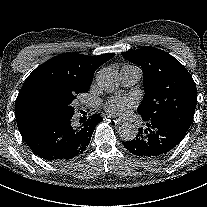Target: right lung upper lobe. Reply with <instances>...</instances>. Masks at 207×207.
Segmentation results:
<instances>
[{
  "label": "right lung upper lobe",
  "mask_w": 207,
  "mask_h": 207,
  "mask_svg": "<svg viewBox=\"0 0 207 207\" xmlns=\"http://www.w3.org/2000/svg\"><path fill=\"white\" fill-rule=\"evenodd\" d=\"M114 55L61 54L37 67L25 80L16 99L15 114L20 133L47 122L32 107L36 97L76 99L80 93L88 92L95 70Z\"/></svg>",
  "instance_id": "right-lung-upper-lobe-1"
}]
</instances>
